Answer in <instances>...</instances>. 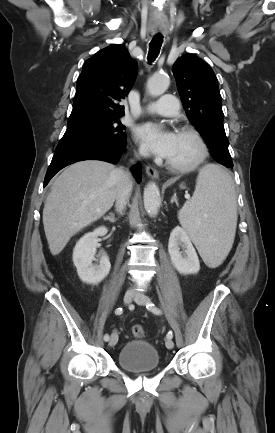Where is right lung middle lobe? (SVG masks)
<instances>
[{"instance_id":"obj_1","label":"right lung middle lobe","mask_w":275,"mask_h":433,"mask_svg":"<svg viewBox=\"0 0 275 433\" xmlns=\"http://www.w3.org/2000/svg\"><path fill=\"white\" fill-rule=\"evenodd\" d=\"M118 116L88 115L69 118L67 130L56 148L126 143Z\"/></svg>"}]
</instances>
